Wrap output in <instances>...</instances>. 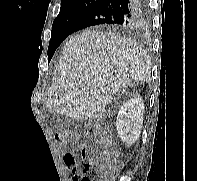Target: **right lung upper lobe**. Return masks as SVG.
Listing matches in <instances>:
<instances>
[{"instance_id":"cb5924a9","label":"right lung upper lobe","mask_w":197,"mask_h":181,"mask_svg":"<svg viewBox=\"0 0 197 181\" xmlns=\"http://www.w3.org/2000/svg\"><path fill=\"white\" fill-rule=\"evenodd\" d=\"M101 0H62L61 1V9L60 11L72 9L82 5H90L93 6ZM138 26H127L125 28H119L126 31H131Z\"/></svg>"}]
</instances>
